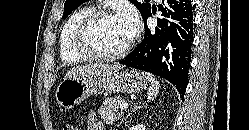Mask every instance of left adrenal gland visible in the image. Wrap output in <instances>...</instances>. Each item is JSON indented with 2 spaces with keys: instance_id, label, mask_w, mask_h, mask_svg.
I'll list each match as a JSON object with an SVG mask.
<instances>
[{
  "instance_id": "left-adrenal-gland-1",
  "label": "left adrenal gland",
  "mask_w": 249,
  "mask_h": 130,
  "mask_svg": "<svg viewBox=\"0 0 249 130\" xmlns=\"http://www.w3.org/2000/svg\"><path fill=\"white\" fill-rule=\"evenodd\" d=\"M138 108H141V106H137V108H135V109H133L132 111H131V113H129V114H127L126 116H125V118H123L122 120H121V122H120V124H122L136 109H138Z\"/></svg>"
}]
</instances>
